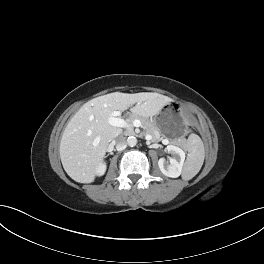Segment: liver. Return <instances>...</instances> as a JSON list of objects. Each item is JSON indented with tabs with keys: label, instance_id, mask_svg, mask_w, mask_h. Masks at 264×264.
<instances>
[{
	"label": "liver",
	"instance_id": "1",
	"mask_svg": "<svg viewBox=\"0 0 264 264\" xmlns=\"http://www.w3.org/2000/svg\"><path fill=\"white\" fill-rule=\"evenodd\" d=\"M171 102L158 93L127 94L114 92L85 103L66 126L60 142V158L66 173L76 182L92 183L97 167L103 162L111 140L122 133L109 124L113 111L130 105L139 116H154Z\"/></svg>",
	"mask_w": 264,
	"mask_h": 264
}]
</instances>
